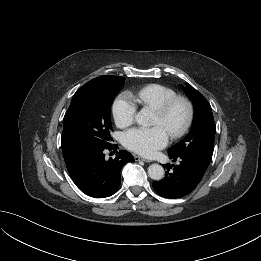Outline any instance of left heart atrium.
Wrapping results in <instances>:
<instances>
[{"label":"left heart atrium","mask_w":261,"mask_h":261,"mask_svg":"<svg viewBox=\"0 0 261 261\" xmlns=\"http://www.w3.org/2000/svg\"><path fill=\"white\" fill-rule=\"evenodd\" d=\"M168 141V133L161 126L133 128L123 136V143L129 150L143 156H152Z\"/></svg>","instance_id":"39dd6f15"}]
</instances>
